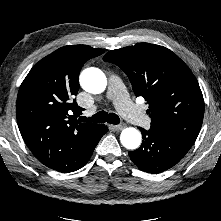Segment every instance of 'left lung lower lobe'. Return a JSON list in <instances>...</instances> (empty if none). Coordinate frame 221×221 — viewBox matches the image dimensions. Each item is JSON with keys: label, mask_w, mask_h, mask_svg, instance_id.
I'll list each match as a JSON object with an SVG mask.
<instances>
[{"label": "left lung lower lobe", "mask_w": 221, "mask_h": 221, "mask_svg": "<svg viewBox=\"0 0 221 221\" xmlns=\"http://www.w3.org/2000/svg\"><path fill=\"white\" fill-rule=\"evenodd\" d=\"M140 130L143 142L137 150L129 152V156L144 172L157 174L172 168L184 157L192 145L158 130L143 128Z\"/></svg>", "instance_id": "obj_1"}]
</instances>
